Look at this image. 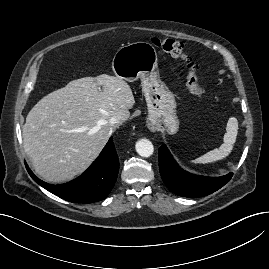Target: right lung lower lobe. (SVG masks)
Instances as JSON below:
<instances>
[{"label":"right lung lower lobe","mask_w":269,"mask_h":269,"mask_svg":"<svg viewBox=\"0 0 269 269\" xmlns=\"http://www.w3.org/2000/svg\"><path fill=\"white\" fill-rule=\"evenodd\" d=\"M33 180L60 198L74 203H92L104 200L112 190L119 171V159L112 137L92 163L78 178L61 185H51L37 178L26 167Z\"/></svg>","instance_id":"right-lung-lower-lobe-1"}]
</instances>
